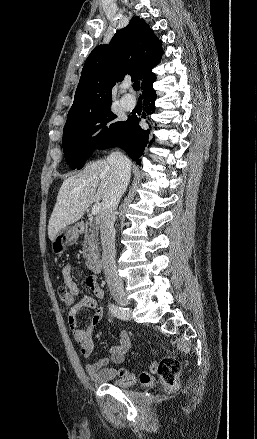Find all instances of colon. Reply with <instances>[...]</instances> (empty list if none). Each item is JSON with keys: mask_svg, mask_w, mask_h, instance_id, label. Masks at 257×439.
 Instances as JSON below:
<instances>
[{"mask_svg": "<svg viewBox=\"0 0 257 439\" xmlns=\"http://www.w3.org/2000/svg\"><path fill=\"white\" fill-rule=\"evenodd\" d=\"M58 295L62 303L67 307L74 305L76 294L73 293L66 286H60ZM181 363L174 357L162 359L160 362H153L151 370L156 372L162 380L164 388L167 391L174 390L178 386L179 373L181 370ZM139 381L141 384L147 385L151 382V376L148 373H141L138 378L132 373L119 369L117 373V384L121 387H129Z\"/></svg>", "mask_w": 257, "mask_h": 439, "instance_id": "obj_1", "label": "colon"}]
</instances>
